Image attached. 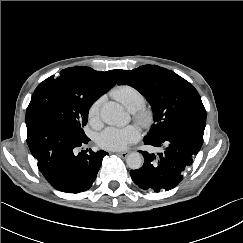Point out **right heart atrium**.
<instances>
[{
	"label": "right heart atrium",
	"instance_id": "d8ad5b80",
	"mask_svg": "<svg viewBox=\"0 0 243 243\" xmlns=\"http://www.w3.org/2000/svg\"><path fill=\"white\" fill-rule=\"evenodd\" d=\"M101 104L102 99L99 98L95 100L88 109V121L94 127L99 124Z\"/></svg>",
	"mask_w": 243,
	"mask_h": 243
}]
</instances>
